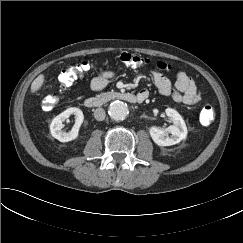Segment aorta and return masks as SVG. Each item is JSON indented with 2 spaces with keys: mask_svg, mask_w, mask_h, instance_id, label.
I'll list each match as a JSON object with an SVG mask.
<instances>
[{
  "mask_svg": "<svg viewBox=\"0 0 243 243\" xmlns=\"http://www.w3.org/2000/svg\"><path fill=\"white\" fill-rule=\"evenodd\" d=\"M109 116L115 121H121L128 115V106L121 100H114L108 108Z\"/></svg>",
  "mask_w": 243,
  "mask_h": 243,
  "instance_id": "aorta-1",
  "label": "aorta"
}]
</instances>
